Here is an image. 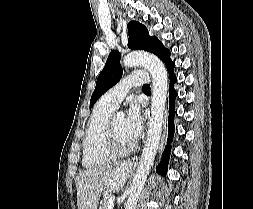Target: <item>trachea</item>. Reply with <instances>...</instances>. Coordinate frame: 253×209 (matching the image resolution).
<instances>
[{"mask_svg":"<svg viewBox=\"0 0 253 209\" xmlns=\"http://www.w3.org/2000/svg\"><path fill=\"white\" fill-rule=\"evenodd\" d=\"M146 88H150V85L147 84L143 86V89H146Z\"/></svg>","mask_w":253,"mask_h":209,"instance_id":"1","label":"trachea"}]
</instances>
